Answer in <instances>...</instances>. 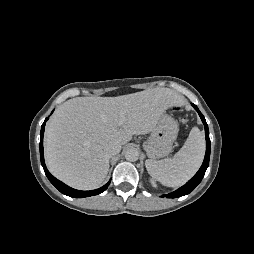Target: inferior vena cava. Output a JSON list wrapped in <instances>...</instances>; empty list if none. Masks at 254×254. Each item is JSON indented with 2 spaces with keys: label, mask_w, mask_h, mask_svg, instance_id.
Returning <instances> with one entry per match:
<instances>
[{
  "label": "inferior vena cava",
  "mask_w": 254,
  "mask_h": 254,
  "mask_svg": "<svg viewBox=\"0 0 254 254\" xmlns=\"http://www.w3.org/2000/svg\"><path fill=\"white\" fill-rule=\"evenodd\" d=\"M120 151H121V145L118 143H113L107 147L106 153L109 157H112L120 153Z\"/></svg>",
  "instance_id": "602c4592"
}]
</instances>
